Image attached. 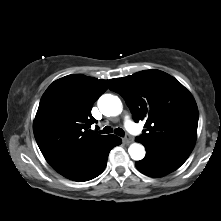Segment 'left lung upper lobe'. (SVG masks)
I'll use <instances>...</instances> for the list:
<instances>
[{"mask_svg": "<svg viewBox=\"0 0 221 221\" xmlns=\"http://www.w3.org/2000/svg\"><path fill=\"white\" fill-rule=\"evenodd\" d=\"M128 105L133 119L145 120L148 131L135 138L143 144L195 143L198 108L191 93L175 78L159 70H145L117 78L110 87Z\"/></svg>", "mask_w": 221, "mask_h": 221, "instance_id": "1", "label": "left lung upper lobe"}]
</instances>
